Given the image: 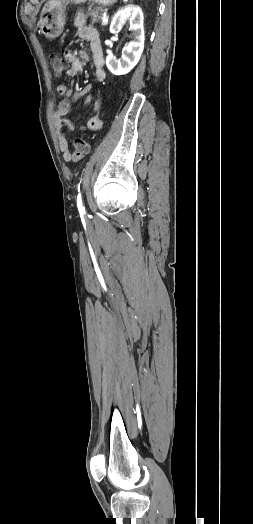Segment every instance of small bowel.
Segmentation results:
<instances>
[{
	"label": "small bowel",
	"instance_id": "c3829d8e",
	"mask_svg": "<svg viewBox=\"0 0 253 524\" xmlns=\"http://www.w3.org/2000/svg\"><path fill=\"white\" fill-rule=\"evenodd\" d=\"M75 25L79 29V37L89 42L90 45V53H88L85 50H80L79 57L85 61H91L93 64V72L95 79L97 81H104L106 78V70L104 65V56L101 46L100 32L93 27L87 26L83 18L77 19L75 21ZM63 58L66 64L64 71L69 76L74 77L83 70V64L80 58L73 55L72 50H65ZM57 90L65 98L61 99L58 102L55 114V126L57 130L59 148L64 153V158L67 160L69 143L66 138L64 129L67 128L71 131L75 129L74 123L70 119L65 117L70 111V103L67 98H72L74 101L82 99L85 105L92 103L94 111H98L101 108V101L98 98L92 99L89 96L88 93L90 90V86H87L81 91L76 92L72 89H68L64 83H61L58 85ZM101 126V119L98 116L94 115L89 118L87 124L85 126H82L81 129H90L96 131L99 130Z\"/></svg>",
	"mask_w": 253,
	"mask_h": 524
}]
</instances>
